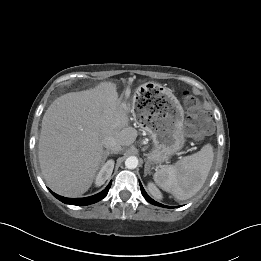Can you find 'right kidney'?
Segmentation results:
<instances>
[{
  "label": "right kidney",
  "instance_id": "obj_1",
  "mask_svg": "<svg viewBox=\"0 0 261 261\" xmlns=\"http://www.w3.org/2000/svg\"><path fill=\"white\" fill-rule=\"evenodd\" d=\"M113 168H114V161L113 160H109L107 161L102 168L100 169L97 177H96V181L95 184L96 186H101L105 183L106 180H108L111 177V174L113 172Z\"/></svg>",
  "mask_w": 261,
  "mask_h": 261
}]
</instances>
